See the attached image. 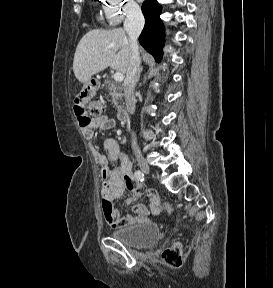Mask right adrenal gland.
<instances>
[{
  "instance_id": "2a0ac1e0",
  "label": "right adrenal gland",
  "mask_w": 273,
  "mask_h": 288,
  "mask_svg": "<svg viewBox=\"0 0 273 288\" xmlns=\"http://www.w3.org/2000/svg\"><path fill=\"white\" fill-rule=\"evenodd\" d=\"M142 70H143V68L141 67L140 70H139V73H138V81H139L140 74H141Z\"/></svg>"
}]
</instances>
